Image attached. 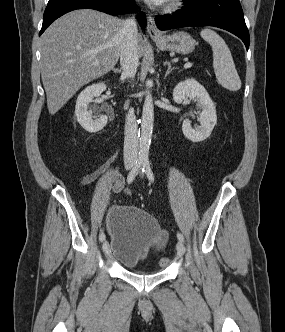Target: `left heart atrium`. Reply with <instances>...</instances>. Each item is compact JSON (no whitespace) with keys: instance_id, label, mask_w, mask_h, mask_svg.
Masks as SVG:
<instances>
[{"instance_id":"obj_1","label":"left heart atrium","mask_w":285,"mask_h":332,"mask_svg":"<svg viewBox=\"0 0 285 332\" xmlns=\"http://www.w3.org/2000/svg\"><path fill=\"white\" fill-rule=\"evenodd\" d=\"M145 1H147L148 3L153 4V5H162L165 2H167L168 0H145Z\"/></svg>"}]
</instances>
